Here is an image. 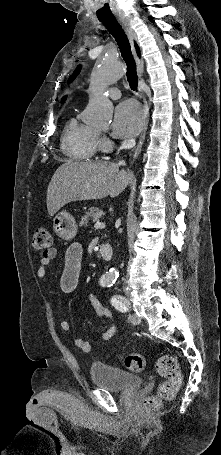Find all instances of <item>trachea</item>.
<instances>
[{"instance_id":"1","label":"trachea","mask_w":221,"mask_h":455,"mask_svg":"<svg viewBox=\"0 0 221 455\" xmlns=\"http://www.w3.org/2000/svg\"><path fill=\"white\" fill-rule=\"evenodd\" d=\"M101 22L105 24L109 32L113 35L115 38L120 52L122 54L123 59L126 62L127 65V80L129 82L130 88L132 90L137 89L138 85V79H137V74H136V64L131 52L130 44L128 41V38L122 29V27L118 24V22L115 20L114 17L111 18H104L100 19Z\"/></svg>"}]
</instances>
